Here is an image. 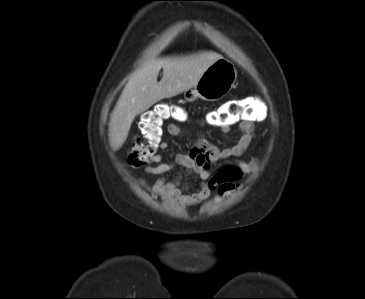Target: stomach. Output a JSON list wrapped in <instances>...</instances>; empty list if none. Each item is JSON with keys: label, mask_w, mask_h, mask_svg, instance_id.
<instances>
[{"label": "stomach", "mask_w": 365, "mask_h": 299, "mask_svg": "<svg viewBox=\"0 0 365 299\" xmlns=\"http://www.w3.org/2000/svg\"><path fill=\"white\" fill-rule=\"evenodd\" d=\"M236 79L237 70L234 65L227 59L220 58L204 71L193 88L184 92V97L190 102L196 99L217 101L230 92Z\"/></svg>", "instance_id": "obj_1"}]
</instances>
